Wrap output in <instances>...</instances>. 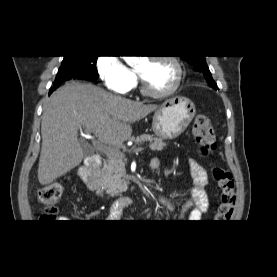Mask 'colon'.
I'll return each mask as SVG.
<instances>
[{
	"label": "colon",
	"mask_w": 277,
	"mask_h": 277,
	"mask_svg": "<svg viewBox=\"0 0 277 277\" xmlns=\"http://www.w3.org/2000/svg\"><path fill=\"white\" fill-rule=\"evenodd\" d=\"M193 135L204 155H209L216 149V137L210 118L198 114L193 122ZM212 175L219 190V200L215 213L217 222H227L233 214L235 205V188L231 172L222 166H216ZM63 194V186L53 182L44 186L38 193L40 202L45 209L40 216L41 222H55L58 213L57 204Z\"/></svg>",
	"instance_id": "5ec220e1"
}]
</instances>
